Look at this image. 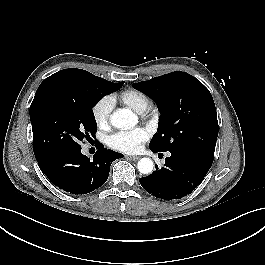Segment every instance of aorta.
<instances>
[{"label":"aorta","mask_w":265,"mask_h":265,"mask_svg":"<svg viewBox=\"0 0 265 265\" xmlns=\"http://www.w3.org/2000/svg\"><path fill=\"white\" fill-rule=\"evenodd\" d=\"M111 124L118 129L134 126L137 123L136 115L129 109H118L110 116ZM137 168L142 174H150L154 164L150 158H142L137 164Z\"/></svg>","instance_id":"aorta-1"}]
</instances>
